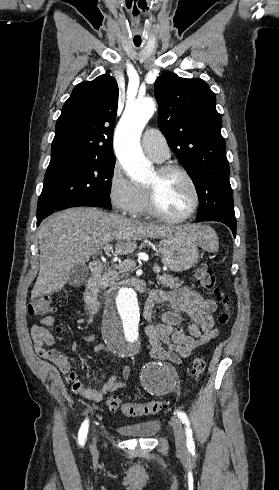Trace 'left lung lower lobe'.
Returning a JSON list of instances; mask_svg holds the SVG:
<instances>
[{"mask_svg":"<svg viewBox=\"0 0 279 490\" xmlns=\"http://www.w3.org/2000/svg\"><path fill=\"white\" fill-rule=\"evenodd\" d=\"M198 222H201V221H218V222H222L224 224H226L228 227H230V229L232 230V233L234 235V237L236 236V220H229V219H225V218H221V217H217V216H212V217H208V218H205V219H202V220H197Z\"/></svg>","mask_w":279,"mask_h":490,"instance_id":"obj_1","label":"left lung lower lobe"}]
</instances>
